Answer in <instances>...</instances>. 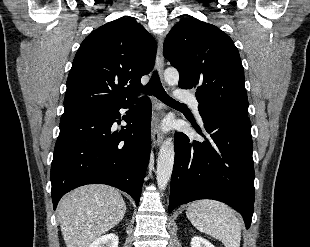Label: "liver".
<instances>
[{
  "instance_id": "6515ba94",
  "label": "liver",
  "mask_w": 310,
  "mask_h": 247,
  "mask_svg": "<svg viewBox=\"0 0 310 247\" xmlns=\"http://www.w3.org/2000/svg\"><path fill=\"white\" fill-rule=\"evenodd\" d=\"M125 212V202L113 187L93 184L74 189L58 205L66 247H88L115 227Z\"/></svg>"
}]
</instances>
